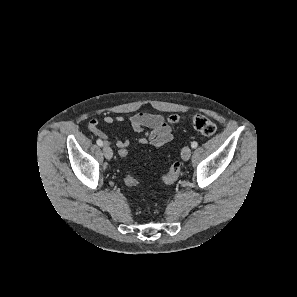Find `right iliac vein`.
I'll list each match as a JSON object with an SVG mask.
<instances>
[{
	"instance_id": "obj_1",
	"label": "right iliac vein",
	"mask_w": 297,
	"mask_h": 297,
	"mask_svg": "<svg viewBox=\"0 0 297 297\" xmlns=\"http://www.w3.org/2000/svg\"><path fill=\"white\" fill-rule=\"evenodd\" d=\"M103 153H104L105 158L108 159V160H110L112 158V156H113L112 149L107 145H105L103 147Z\"/></svg>"
}]
</instances>
